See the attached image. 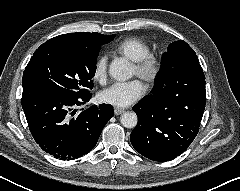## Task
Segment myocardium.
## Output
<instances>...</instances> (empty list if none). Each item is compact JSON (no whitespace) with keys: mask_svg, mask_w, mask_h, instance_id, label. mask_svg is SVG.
Wrapping results in <instances>:
<instances>
[{"mask_svg":"<svg viewBox=\"0 0 240 191\" xmlns=\"http://www.w3.org/2000/svg\"><path fill=\"white\" fill-rule=\"evenodd\" d=\"M136 75L144 82L154 84L161 74V60L152 53L147 54L142 59L134 62Z\"/></svg>","mask_w":240,"mask_h":191,"instance_id":"myocardium-1","label":"myocardium"}]
</instances>
